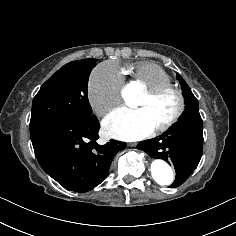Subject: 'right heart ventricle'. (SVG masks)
<instances>
[{
  "label": "right heart ventricle",
  "mask_w": 236,
  "mask_h": 236,
  "mask_svg": "<svg viewBox=\"0 0 236 236\" xmlns=\"http://www.w3.org/2000/svg\"><path fill=\"white\" fill-rule=\"evenodd\" d=\"M126 72L132 83L143 90H150L161 85L171 84L172 76L160 65L149 62L128 64Z\"/></svg>",
  "instance_id": "obj_1"
}]
</instances>
